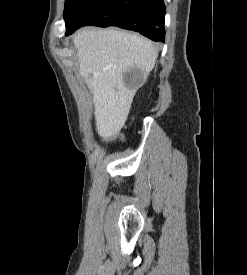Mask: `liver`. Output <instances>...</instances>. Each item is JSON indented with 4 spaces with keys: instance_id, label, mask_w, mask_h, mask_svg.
<instances>
[{
    "instance_id": "6515ba94",
    "label": "liver",
    "mask_w": 247,
    "mask_h": 275,
    "mask_svg": "<svg viewBox=\"0 0 247 275\" xmlns=\"http://www.w3.org/2000/svg\"><path fill=\"white\" fill-rule=\"evenodd\" d=\"M79 74L93 95L98 135L109 138L124 126L140 85L128 87L123 74L139 68L147 78L158 57L148 39L116 29H84L73 38Z\"/></svg>"
}]
</instances>
